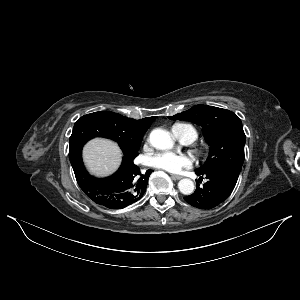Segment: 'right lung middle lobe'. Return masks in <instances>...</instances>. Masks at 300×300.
Instances as JSON below:
<instances>
[{
	"label": "right lung middle lobe",
	"mask_w": 300,
	"mask_h": 300,
	"mask_svg": "<svg viewBox=\"0 0 300 300\" xmlns=\"http://www.w3.org/2000/svg\"><path fill=\"white\" fill-rule=\"evenodd\" d=\"M94 137H106L116 141L122 149L124 157L133 160L138 155L140 142L142 139L135 141H126L112 131V126L107 120L102 118L98 112L91 113L79 118L73 128L70 136L69 158L74 162L81 157L83 145Z\"/></svg>",
	"instance_id": "right-lung-middle-lobe-1"
}]
</instances>
